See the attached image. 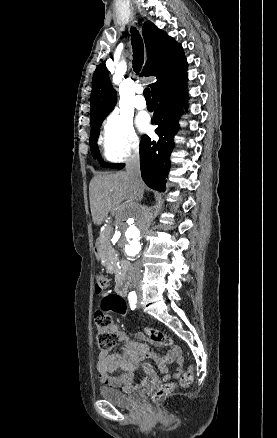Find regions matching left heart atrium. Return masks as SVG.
<instances>
[{"mask_svg": "<svg viewBox=\"0 0 277 438\" xmlns=\"http://www.w3.org/2000/svg\"><path fill=\"white\" fill-rule=\"evenodd\" d=\"M148 116L146 114H142L137 119V124L141 131H146L148 129Z\"/></svg>", "mask_w": 277, "mask_h": 438, "instance_id": "1", "label": "left heart atrium"}]
</instances>
